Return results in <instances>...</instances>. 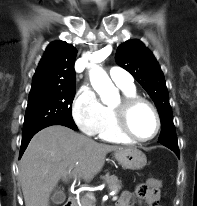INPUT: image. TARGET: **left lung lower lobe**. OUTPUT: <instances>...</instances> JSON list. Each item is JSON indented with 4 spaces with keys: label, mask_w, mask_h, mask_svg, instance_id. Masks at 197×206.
<instances>
[{
    "label": "left lung lower lobe",
    "mask_w": 197,
    "mask_h": 206,
    "mask_svg": "<svg viewBox=\"0 0 197 206\" xmlns=\"http://www.w3.org/2000/svg\"><path fill=\"white\" fill-rule=\"evenodd\" d=\"M162 145L168 147L171 149L173 152L176 153V155L179 157V148H178V143H172V142H163L161 143Z\"/></svg>",
    "instance_id": "0a47b994"
}]
</instances>
